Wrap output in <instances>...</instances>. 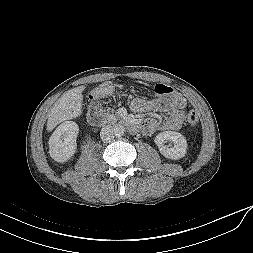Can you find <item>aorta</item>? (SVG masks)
Wrapping results in <instances>:
<instances>
[{
    "label": "aorta",
    "instance_id": "aorta-1",
    "mask_svg": "<svg viewBox=\"0 0 253 253\" xmlns=\"http://www.w3.org/2000/svg\"><path fill=\"white\" fill-rule=\"evenodd\" d=\"M114 135L116 136V137H121V136H123L124 135V133H125V128H124V126H122V125H116V126H114Z\"/></svg>",
    "mask_w": 253,
    "mask_h": 253
}]
</instances>
